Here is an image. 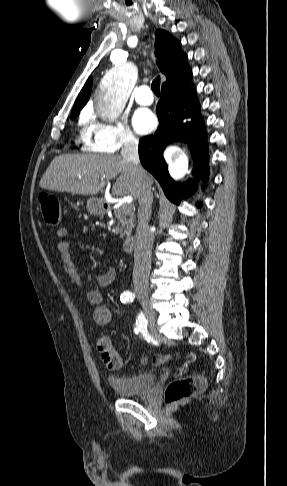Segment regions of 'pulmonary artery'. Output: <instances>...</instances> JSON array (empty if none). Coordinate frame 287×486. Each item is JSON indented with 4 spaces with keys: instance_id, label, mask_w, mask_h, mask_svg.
Listing matches in <instances>:
<instances>
[{
    "instance_id": "obj_1",
    "label": "pulmonary artery",
    "mask_w": 287,
    "mask_h": 486,
    "mask_svg": "<svg viewBox=\"0 0 287 486\" xmlns=\"http://www.w3.org/2000/svg\"><path fill=\"white\" fill-rule=\"evenodd\" d=\"M134 98L140 105H151L154 100L151 90L147 85L138 87L135 91Z\"/></svg>"
}]
</instances>
